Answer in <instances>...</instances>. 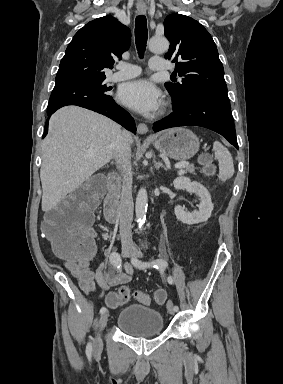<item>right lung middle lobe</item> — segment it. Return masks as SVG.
Instances as JSON below:
<instances>
[{
    "label": "right lung middle lobe",
    "instance_id": "obj_1",
    "mask_svg": "<svg viewBox=\"0 0 283 384\" xmlns=\"http://www.w3.org/2000/svg\"><path fill=\"white\" fill-rule=\"evenodd\" d=\"M111 89L107 87L104 80L54 88L48 107L59 108L65 105L110 99L112 97L107 94V91Z\"/></svg>",
    "mask_w": 283,
    "mask_h": 384
}]
</instances>
